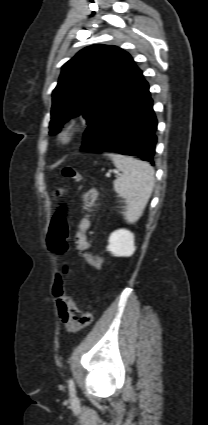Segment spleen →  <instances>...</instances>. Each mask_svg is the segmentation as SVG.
<instances>
[{"label":"spleen","mask_w":208,"mask_h":425,"mask_svg":"<svg viewBox=\"0 0 208 425\" xmlns=\"http://www.w3.org/2000/svg\"><path fill=\"white\" fill-rule=\"evenodd\" d=\"M122 175L114 181V190L125 199L124 218L128 223L136 222L152 194L154 169L144 161L119 154H109Z\"/></svg>","instance_id":"3e777b00"}]
</instances>
